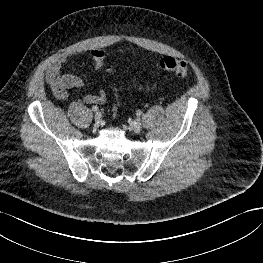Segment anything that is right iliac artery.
Returning <instances> with one entry per match:
<instances>
[{
  "mask_svg": "<svg viewBox=\"0 0 263 263\" xmlns=\"http://www.w3.org/2000/svg\"><path fill=\"white\" fill-rule=\"evenodd\" d=\"M98 110H99V109H98L97 106H93V107H92V111H93V112H97Z\"/></svg>",
  "mask_w": 263,
  "mask_h": 263,
  "instance_id": "1",
  "label": "right iliac artery"
}]
</instances>
